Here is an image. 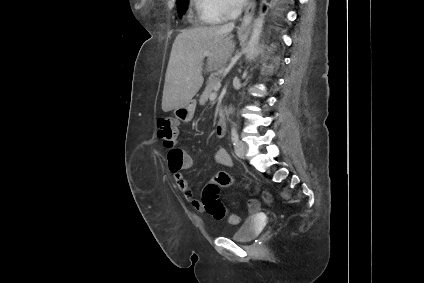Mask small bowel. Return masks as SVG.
<instances>
[{
	"label": "small bowel",
	"instance_id": "obj_1",
	"mask_svg": "<svg viewBox=\"0 0 424 283\" xmlns=\"http://www.w3.org/2000/svg\"><path fill=\"white\" fill-rule=\"evenodd\" d=\"M189 159V168L192 165V159L187 155ZM215 161L217 164L224 167L232 166V159L229 153L224 148L217 149L215 153ZM173 177L178 189L182 192L187 202H189L196 210L203 211V204L195 197L192 189L190 188L188 180L185 178L181 171L173 172Z\"/></svg>",
	"mask_w": 424,
	"mask_h": 283
}]
</instances>
